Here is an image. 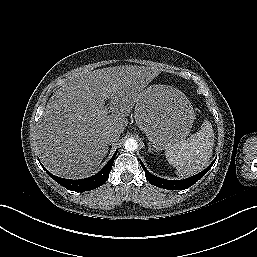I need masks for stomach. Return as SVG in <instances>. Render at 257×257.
I'll list each match as a JSON object with an SVG mask.
<instances>
[{
	"label": "stomach",
	"mask_w": 257,
	"mask_h": 257,
	"mask_svg": "<svg viewBox=\"0 0 257 257\" xmlns=\"http://www.w3.org/2000/svg\"><path fill=\"white\" fill-rule=\"evenodd\" d=\"M135 121L156 149L183 141L193 126L195 113L188 98L178 89L152 85L135 106Z\"/></svg>",
	"instance_id": "1"
}]
</instances>
